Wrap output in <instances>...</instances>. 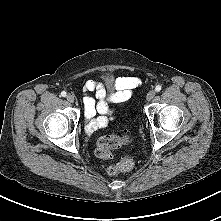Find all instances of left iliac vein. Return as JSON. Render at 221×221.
<instances>
[{
	"label": "left iliac vein",
	"mask_w": 221,
	"mask_h": 221,
	"mask_svg": "<svg viewBox=\"0 0 221 221\" xmlns=\"http://www.w3.org/2000/svg\"><path fill=\"white\" fill-rule=\"evenodd\" d=\"M155 95H156L155 90H150L147 94V100L151 101L155 97Z\"/></svg>",
	"instance_id": "1"
}]
</instances>
